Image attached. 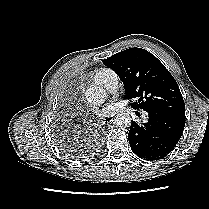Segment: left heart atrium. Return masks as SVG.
I'll return each instance as SVG.
<instances>
[{"instance_id": "39dd6f15", "label": "left heart atrium", "mask_w": 209, "mask_h": 209, "mask_svg": "<svg viewBox=\"0 0 209 209\" xmlns=\"http://www.w3.org/2000/svg\"><path fill=\"white\" fill-rule=\"evenodd\" d=\"M118 108V105L114 102L112 103H109L107 105H105L100 111H99V114L101 116H108L112 113H114Z\"/></svg>"}]
</instances>
